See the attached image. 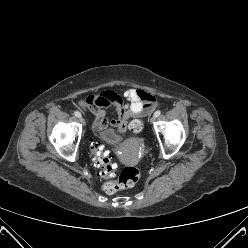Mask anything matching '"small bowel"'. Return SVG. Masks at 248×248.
<instances>
[{
	"label": "small bowel",
	"mask_w": 248,
	"mask_h": 248,
	"mask_svg": "<svg viewBox=\"0 0 248 248\" xmlns=\"http://www.w3.org/2000/svg\"><path fill=\"white\" fill-rule=\"evenodd\" d=\"M87 102L92 104L95 120L93 128L102 131L109 125L114 127L119 133L130 129L133 117L152 113L157 109V102L151 99L150 94L139 88H130L124 91L120 96L115 92L106 91L96 96L87 95ZM113 106L118 113L117 118H109L105 108Z\"/></svg>",
	"instance_id": "c3829d8e"
}]
</instances>
